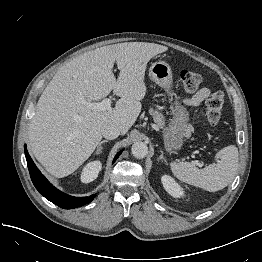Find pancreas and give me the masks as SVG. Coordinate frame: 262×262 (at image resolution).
Listing matches in <instances>:
<instances>
[{"mask_svg": "<svg viewBox=\"0 0 262 262\" xmlns=\"http://www.w3.org/2000/svg\"><path fill=\"white\" fill-rule=\"evenodd\" d=\"M150 114L153 115L154 122L158 127H163L164 126V116L159 113L158 111H154L153 109H150Z\"/></svg>", "mask_w": 262, "mask_h": 262, "instance_id": "1", "label": "pancreas"}]
</instances>
